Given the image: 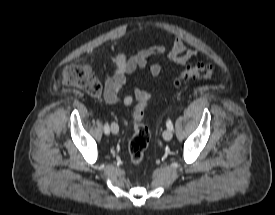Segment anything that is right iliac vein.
<instances>
[{
	"mask_svg": "<svg viewBox=\"0 0 275 215\" xmlns=\"http://www.w3.org/2000/svg\"><path fill=\"white\" fill-rule=\"evenodd\" d=\"M111 132L113 134H117L119 132V126L117 125V123L113 122L111 124Z\"/></svg>",
	"mask_w": 275,
	"mask_h": 215,
	"instance_id": "right-iliac-vein-1",
	"label": "right iliac vein"
}]
</instances>
